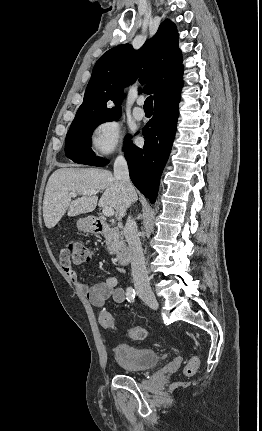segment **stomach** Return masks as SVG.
<instances>
[{
  "mask_svg": "<svg viewBox=\"0 0 262 431\" xmlns=\"http://www.w3.org/2000/svg\"><path fill=\"white\" fill-rule=\"evenodd\" d=\"M77 228L83 232L93 233L95 231L93 218L92 217L80 218L77 221Z\"/></svg>",
  "mask_w": 262,
  "mask_h": 431,
  "instance_id": "0dacf381",
  "label": "stomach"
}]
</instances>
